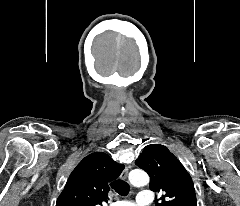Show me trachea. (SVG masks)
<instances>
[{
	"mask_svg": "<svg viewBox=\"0 0 240 206\" xmlns=\"http://www.w3.org/2000/svg\"><path fill=\"white\" fill-rule=\"evenodd\" d=\"M110 186L119 194L122 196H126L129 192L130 186L127 182L124 180H115L112 183H110Z\"/></svg>",
	"mask_w": 240,
	"mask_h": 206,
	"instance_id": "3493384b",
	"label": "trachea"
}]
</instances>
